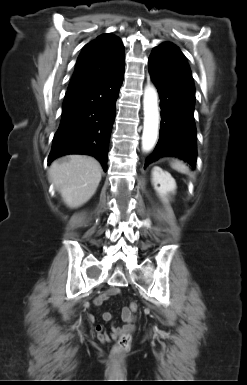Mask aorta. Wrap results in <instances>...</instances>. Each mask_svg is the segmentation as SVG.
Masks as SVG:
<instances>
[{
	"label": "aorta",
	"instance_id": "aorta-1",
	"mask_svg": "<svg viewBox=\"0 0 247 385\" xmlns=\"http://www.w3.org/2000/svg\"><path fill=\"white\" fill-rule=\"evenodd\" d=\"M143 110L144 128L142 134V150L149 152L156 144L160 119L158 94L152 85H147L144 89Z\"/></svg>",
	"mask_w": 247,
	"mask_h": 385
}]
</instances>
